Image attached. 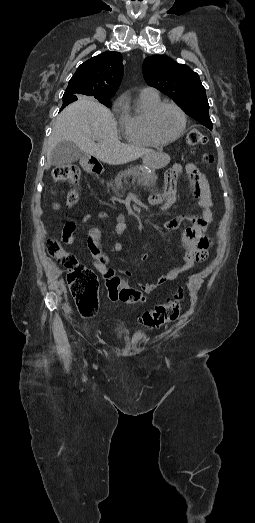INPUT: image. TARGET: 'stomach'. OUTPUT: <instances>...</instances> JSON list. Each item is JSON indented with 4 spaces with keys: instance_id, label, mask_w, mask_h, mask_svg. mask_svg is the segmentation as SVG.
I'll return each instance as SVG.
<instances>
[{
    "instance_id": "obj_1",
    "label": "stomach",
    "mask_w": 255,
    "mask_h": 523,
    "mask_svg": "<svg viewBox=\"0 0 255 523\" xmlns=\"http://www.w3.org/2000/svg\"><path fill=\"white\" fill-rule=\"evenodd\" d=\"M145 168H151V170H160V168L167 167L169 165V154L166 151L152 152L150 156H146L143 162Z\"/></svg>"
}]
</instances>
